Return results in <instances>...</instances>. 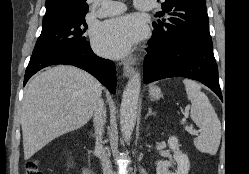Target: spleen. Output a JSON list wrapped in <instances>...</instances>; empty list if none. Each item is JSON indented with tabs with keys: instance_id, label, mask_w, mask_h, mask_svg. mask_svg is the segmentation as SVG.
I'll use <instances>...</instances> for the list:
<instances>
[{
	"instance_id": "1",
	"label": "spleen",
	"mask_w": 249,
	"mask_h": 174,
	"mask_svg": "<svg viewBox=\"0 0 249 174\" xmlns=\"http://www.w3.org/2000/svg\"><path fill=\"white\" fill-rule=\"evenodd\" d=\"M187 98L191 101V119L200 128V135L194 139L195 147L203 153L215 155L221 139V123L201 86L190 79H184Z\"/></svg>"
}]
</instances>
